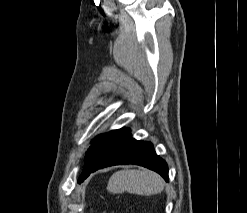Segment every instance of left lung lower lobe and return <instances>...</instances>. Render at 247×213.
I'll list each match as a JSON object with an SVG mask.
<instances>
[{"instance_id": "obj_1", "label": "left lung lower lobe", "mask_w": 247, "mask_h": 213, "mask_svg": "<svg viewBox=\"0 0 247 213\" xmlns=\"http://www.w3.org/2000/svg\"><path fill=\"white\" fill-rule=\"evenodd\" d=\"M119 164H136L159 173L168 181V166L154 151L150 142L131 137L128 129L110 131L99 136L87 150L79 179L83 182L92 172Z\"/></svg>"}]
</instances>
